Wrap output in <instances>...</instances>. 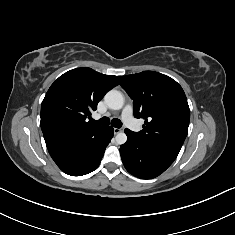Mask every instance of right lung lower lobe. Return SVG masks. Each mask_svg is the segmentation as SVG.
Masks as SVG:
<instances>
[{"mask_svg": "<svg viewBox=\"0 0 235 235\" xmlns=\"http://www.w3.org/2000/svg\"><path fill=\"white\" fill-rule=\"evenodd\" d=\"M114 134L111 126L49 150L57 166L66 174L81 176L94 171Z\"/></svg>", "mask_w": 235, "mask_h": 235, "instance_id": "98d812e1", "label": "right lung lower lobe"}]
</instances>
